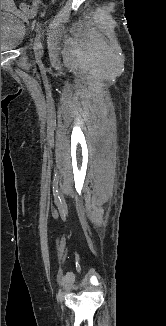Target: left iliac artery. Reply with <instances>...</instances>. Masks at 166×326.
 Instances as JSON below:
<instances>
[{"label":"left iliac artery","instance_id":"left-iliac-artery-1","mask_svg":"<svg viewBox=\"0 0 166 326\" xmlns=\"http://www.w3.org/2000/svg\"><path fill=\"white\" fill-rule=\"evenodd\" d=\"M37 34H38L39 38L44 39V32L38 23H37ZM40 45H41V43H40Z\"/></svg>","mask_w":166,"mask_h":326}]
</instances>
